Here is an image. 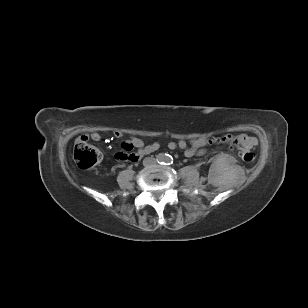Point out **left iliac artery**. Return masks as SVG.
I'll return each mask as SVG.
<instances>
[{
	"label": "left iliac artery",
	"instance_id": "left-iliac-artery-1",
	"mask_svg": "<svg viewBox=\"0 0 308 308\" xmlns=\"http://www.w3.org/2000/svg\"><path fill=\"white\" fill-rule=\"evenodd\" d=\"M166 163H167L168 165L172 164V163H173V158H172L171 156L167 157V158H166Z\"/></svg>",
	"mask_w": 308,
	"mask_h": 308
}]
</instances>
